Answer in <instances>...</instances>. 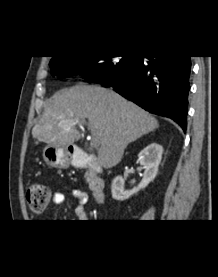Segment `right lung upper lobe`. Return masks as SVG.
<instances>
[{"mask_svg": "<svg viewBox=\"0 0 218 277\" xmlns=\"http://www.w3.org/2000/svg\"><path fill=\"white\" fill-rule=\"evenodd\" d=\"M56 57H60V56H54L52 59L56 58Z\"/></svg>", "mask_w": 218, "mask_h": 277, "instance_id": "cb5924a9", "label": "right lung upper lobe"}]
</instances>
